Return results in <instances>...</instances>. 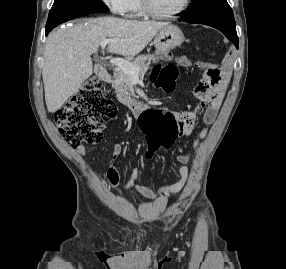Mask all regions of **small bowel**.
<instances>
[{
    "label": "small bowel",
    "mask_w": 286,
    "mask_h": 269,
    "mask_svg": "<svg viewBox=\"0 0 286 269\" xmlns=\"http://www.w3.org/2000/svg\"><path fill=\"white\" fill-rule=\"evenodd\" d=\"M177 63L184 67H189L193 65L191 59L187 56H181L177 59ZM204 62H197V65H202ZM215 65V64H211ZM225 69L220 71V79H219V88H215L214 91H209L208 88H197L195 89L196 95L200 99V103L198 106L189 111H184L181 113L172 112V116L174 121H177V127L182 135H188L194 128L195 121L197 118V114L199 111L205 109L203 121L206 126H211L216 121L218 116L219 109L222 105V101L224 98V93L226 86L229 82L231 70L230 68L224 64ZM202 80V79H201ZM201 82V81H200ZM114 93H127V88H114ZM131 94H119V99H131ZM134 120L138 119L137 115L133 116ZM209 130L207 127L203 128L199 134L198 139H204L207 137ZM147 138V137H146ZM198 142V140L196 141ZM152 150V149H149ZM121 147L116 145L112 151L111 158L109 160L108 166L103 174L104 179L112 186H119V176L120 171L119 167L116 165V160L121 154ZM81 152L84 153V150L81 149ZM150 155H145L141 159V163H144ZM191 155L189 152H185L180 154L177 157V162L180 164L178 168L179 180L173 184L161 186L157 189V191H153L149 186L144 184H137V179L139 177V169L132 168L129 173L128 180L120 186V189L124 192H134L137 193L144 198L153 199L155 197H164L168 195H175L181 192L188 180L189 177V169L186 164L190 161Z\"/></svg>",
    "instance_id": "obj_1"
}]
</instances>
